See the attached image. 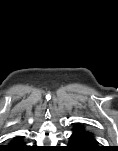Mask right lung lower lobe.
<instances>
[{"instance_id":"right-lung-lower-lobe-1","label":"right lung lower lobe","mask_w":118,"mask_h":151,"mask_svg":"<svg viewBox=\"0 0 118 151\" xmlns=\"http://www.w3.org/2000/svg\"><path fill=\"white\" fill-rule=\"evenodd\" d=\"M9 147H13V148H9ZM6 147L5 150H9V151H24V150H28V147L26 145H24V143L22 142V140H20L19 142L15 143V146H10Z\"/></svg>"}]
</instances>
